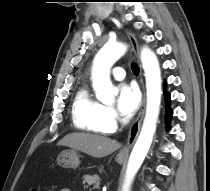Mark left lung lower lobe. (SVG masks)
<instances>
[{"label":"left lung lower lobe","instance_id":"obj_1","mask_svg":"<svg viewBox=\"0 0 210 191\" xmlns=\"http://www.w3.org/2000/svg\"><path fill=\"white\" fill-rule=\"evenodd\" d=\"M165 97H166V102H167V110H166V120H169L172 117V110L169 107V102H170V95L169 93L165 92ZM170 127L168 126V130Z\"/></svg>","mask_w":210,"mask_h":191}]
</instances>
